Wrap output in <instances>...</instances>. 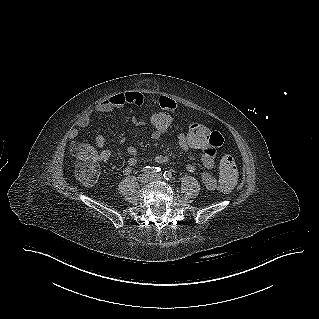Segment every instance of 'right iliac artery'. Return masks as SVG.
<instances>
[{
	"instance_id": "82829eb1",
	"label": "right iliac artery",
	"mask_w": 319,
	"mask_h": 319,
	"mask_svg": "<svg viewBox=\"0 0 319 319\" xmlns=\"http://www.w3.org/2000/svg\"><path fill=\"white\" fill-rule=\"evenodd\" d=\"M143 172L145 173H157L161 171L160 167H150V166H146L142 169Z\"/></svg>"
}]
</instances>
